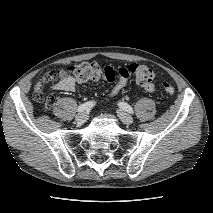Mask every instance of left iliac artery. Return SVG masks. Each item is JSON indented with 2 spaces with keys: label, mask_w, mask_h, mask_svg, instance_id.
I'll return each mask as SVG.
<instances>
[{
  "label": "left iliac artery",
  "mask_w": 213,
  "mask_h": 213,
  "mask_svg": "<svg viewBox=\"0 0 213 213\" xmlns=\"http://www.w3.org/2000/svg\"><path fill=\"white\" fill-rule=\"evenodd\" d=\"M118 105L120 106V108L127 111L128 113H130V114L134 113L132 107L129 104H127L126 102H119Z\"/></svg>",
  "instance_id": "1"
}]
</instances>
